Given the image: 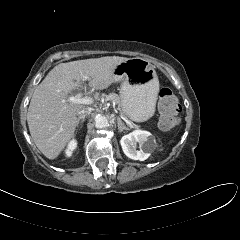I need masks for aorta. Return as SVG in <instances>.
I'll list each match as a JSON object with an SVG mask.
<instances>
[{
  "label": "aorta",
  "instance_id": "obj_1",
  "mask_svg": "<svg viewBox=\"0 0 240 240\" xmlns=\"http://www.w3.org/2000/svg\"><path fill=\"white\" fill-rule=\"evenodd\" d=\"M109 125V122L105 116L97 115L95 117V126L97 128H105Z\"/></svg>",
  "mask_w": 240,
  "mask_h": 240
}]
</instances>
